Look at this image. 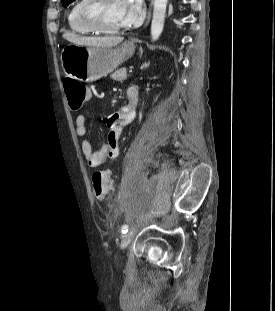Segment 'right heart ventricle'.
Returning <instances> with one entry per match:
<instances>
[{"label":"right heart ventricle","instance_id":"right-heart-ventricle-1","mask_svg":"<svg viewBox=\"0 0 275 311\" xmlns=\"http://www.w3.org/2000/svg\"><path fill=\"white\" fill-rule=\"evenodd\" d=\"M83 2L84 0H75L68 12L67 21L71 31L78 34L86 35L93 33V31L83 25L76 17V10Z\"/></svg>","mask_w":275,"mask_h":311}]
</instances>
